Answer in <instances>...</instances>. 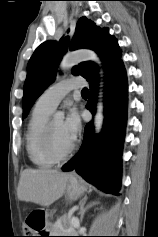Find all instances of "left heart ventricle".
Listing matches in <instances>:
<instances>
[{
	"mask_svg": "<svg viewBox=\"0 0 158 237\" xmlns=\"http://www.w3.org/2000/svg\"><path fill=\"white\" fill-rule=\"evenodd\" d=\"M62 123L60 120H54L51 127L52 143L58 154L65 153L72 146V142L63 133Z\"/></svg>",
	"mask_w": 158,
	"mask_h": 237,
	"instance_id": "1",
	"label": "left heart ventricle"
}]
</instances>
